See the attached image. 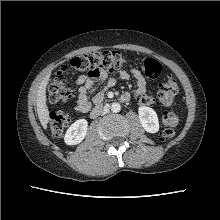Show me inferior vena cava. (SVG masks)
<instances>
[{"instance_id":"1","label":"inferior vena cava","mask_w":220,"mask_h":220,"mask_svg":"<svg viewBox=\"0 0 220 220\" xmlns=\"http://www.w3.org/2000/svg\"><path fill=\"white\" fill-rule=\"evenodd\" d=\"M108 111H109L108 106L97 107V108H94L93 110L94 113H102V114H106Z\"/></svg>"}]
</instances>
